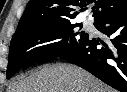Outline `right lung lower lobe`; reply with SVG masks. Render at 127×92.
Instances as JSON below:
<instances>
[{
	"instance_id": "1",
	"label": "right lung lower lobe",
	"mask_w": 127,
	"mask_h": 92,
	"mask_svg": "<svg viewBox=\"0 0 127 92\" xmlns=\"http://www.w3.org/2000/svg\"><path fill=\"white\" fill-rule=\"evenodd\" d=\"M95 27L110 37L107 42L88 37L60 58L76 64L113 88L127 92V9L104 16ZM102 45V47H97Z\"/></svg>"
}]
</instances>
